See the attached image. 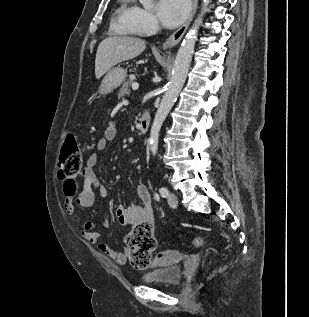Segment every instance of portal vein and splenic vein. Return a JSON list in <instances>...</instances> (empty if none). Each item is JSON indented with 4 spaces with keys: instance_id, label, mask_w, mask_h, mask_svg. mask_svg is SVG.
Instances as JSON below:
<instances>
[{
    "instance_id": "portal-vein-and-splenic-vein-1",
    "label": "portal vein and splenic vein",
    "mask_w": 309,
    "mask_h": 317,
    "mask_svg": "<svg viewBox=\"0 0 309 317\" xmlns=\"http://www.w3.org/2000/svg\"><path fill=\"white\" fill-rule=\"evenodd\" d=\"M139 88V84L138 83H133L132 84V89L133 90H137Z\"/></svg>"
}]
</instances>
